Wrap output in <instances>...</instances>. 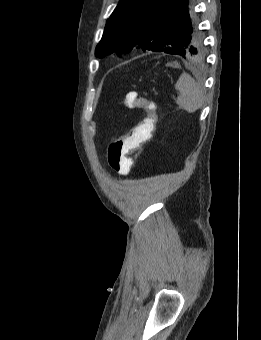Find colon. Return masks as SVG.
<instances>
[{"instance_id": "obj_1", "label": "colon", "mask_w": 261, "mask_h": 340, "mask_svg": "<svg viewBox=\"0 0 261 340\" xmlns=\"http://www.w3.org/2000/svg\"><path fill=\"white\" fill-rule=\"evenodd\" d=\"M124 105L131 109H143L146 117L126 134L113 139L108 146L107 159L110 167L119 173H127L133 165L130 154L138 150L152 135L157 121V103L130 92Z\"/></svg>"}]
</instances>
